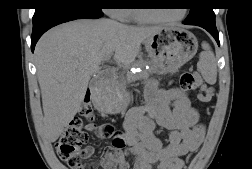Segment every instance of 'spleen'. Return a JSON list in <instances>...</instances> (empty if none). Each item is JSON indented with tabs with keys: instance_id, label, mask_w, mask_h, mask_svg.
Returning a JSON list of instances; mask_svg holds the SVG:
<instances>
[{
	"instance_id": "spleen-1",
	"label": "spleen",
	"mask_w": 252,
	"mask_h": 169,
	"mask_svg": "<svg viewBox=\"0 0 252 169\" xmlns=\"http://www.w3.org/2000/svg\"><path fill=\"white\" fill-rule=\"evenodd\" d=\"M203 51L199 55L197 69L201 73L203 79L208 84H215L217 80V63L213 51L208 43H202Z\"/></svg>"
}]
</instances>
